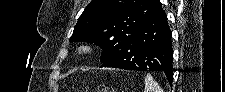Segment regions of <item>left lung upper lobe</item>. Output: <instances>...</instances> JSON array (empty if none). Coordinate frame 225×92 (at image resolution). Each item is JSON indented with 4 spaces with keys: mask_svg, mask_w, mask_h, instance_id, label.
<instances>
[{
    "mask_svg": "<svg viewBox=\"0 0 225 92\" xmlns=\"http://www.w3.org/2000/svg\"><path fill=\"white\" fill-rule=\"evenodd\" d=\"M161 10L159 0H92L79 17L70 41L100 46V61L104 62Z\"/></svg>",
    "mask_w": 225,
    "mask_h": 92,
    "instance_id": "obj_1",
    "label": "left lung upper lobe"
}]
</instances>
